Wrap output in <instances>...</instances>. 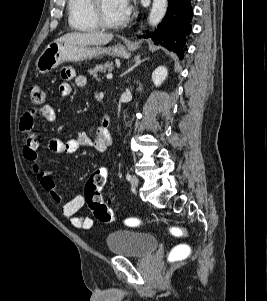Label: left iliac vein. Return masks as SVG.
I'll use <instances>...</instances> for the list:
<instances>
[{
	"label": "left iliac vein",
	"mask_w": 267,
	"mask_h": 301,
	"mask_svg": "<svg viewBox=\"0 0 267 301\" xmlns=\"http://www.w3.org/2000/svg\"><path fill=\"white\" fill-rule=\"evenodd\" d=\"M130 184H131V187L133 189H136L138 187L139 180H138V177L136 175H132Z\"/></svg>",
	"instance_id": "obj_1"
}]
</instances>
